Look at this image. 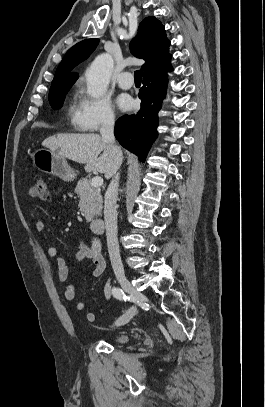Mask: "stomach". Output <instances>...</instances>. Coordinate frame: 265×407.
Segmentation results:
<instances>
[{
    "label": "stomach",
    "mask_w": 265,
    "mask_h": 407,
    "mask_svg": "<svg viewBox=\"0 0 265 407\" xmlns=\"http://www.w3.org/2000/svg\"><path fill=\"white\" fill-rule=\"evenodd\" d=\"M33 165L40 171L58 176L64 181H73L76 173L67 160L50 149L41 148L32 155Z\"/></svg>",
    "instance_id": "stomach-1"
}]
</instances>
